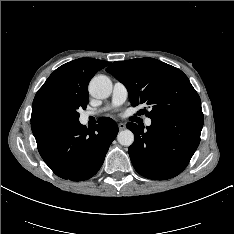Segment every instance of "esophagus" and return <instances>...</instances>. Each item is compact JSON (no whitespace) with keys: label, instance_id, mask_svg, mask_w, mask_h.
Listing matches in <instances>:
<instances>
[{"label":"esophagus","instance_id":"34e87169","mask_svg":"<svg viewBox=\"0 0 234 234\" xmlns=\"http://www.w3.org/2000/svg\"><path fill=\"white\" fill-rule=\"evenodd\" d=\"M118 128L119 130H124L126 128V125L124 123H119Z\"/></svg>","mask_w":234,"mask_h":234}]
</instances>
